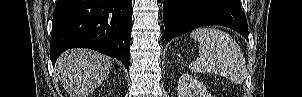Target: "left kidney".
<instances>
[{
  "instance_id": "1",
  "label": "left kidney",
  "mask_w": 302,
  "mask_h": 97,
  "mask_svg": "<svg viewBox=\"0 0 302 97\" xmlns=\"http://www.w3.org/2000/svg\"><path fill=\"white\" fill-rule=\"evenodd\" d=\"M178 97H212L206 87L189 74H182L177 86Z\"/></svg>"
}]
</instances>
